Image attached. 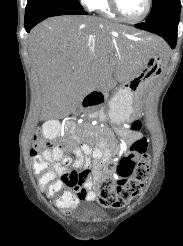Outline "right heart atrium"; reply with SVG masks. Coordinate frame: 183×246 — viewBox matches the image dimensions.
Segmentation results:
<instances>
[{"label":"right heart atrium","instance_id":"right-heart-atrium-1","mask_svg":"<svg viewBox=\"0 0 183 246\" xmlns=\"http://www.w3.org/2000/svg\"><path fill=\"white\" fill-rule=\"evenodd\" d=\"M82 3H84L86 6L90 7V3L92 0H80Z\"/></svg>","mask_w":183,"mask_h":246}]
</instances>
